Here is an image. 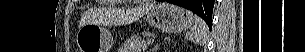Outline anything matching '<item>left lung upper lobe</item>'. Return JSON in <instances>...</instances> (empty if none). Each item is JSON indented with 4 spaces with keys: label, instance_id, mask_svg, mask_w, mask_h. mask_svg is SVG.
<instances>
[{
    "label": "left lung upper lobe",
    "instance_id": "obj_1",
    "mask_svg": "<svg viewBox=\"0 0 305 52\" xmlns=\"http://www.w3.org/2000/svg\"><path fill=\"white\" fill-rule=\"evenodd\" d=\"M205 20H206L207 22H209V23L212 24V15H211L209 18H206V17H205Z\"/></svg>",
    "mask_w": 305,
    "mask_h": 52
}]
</instances>
